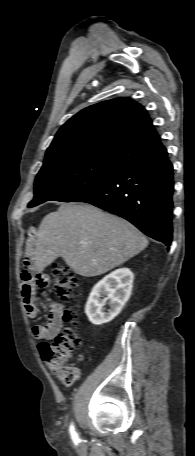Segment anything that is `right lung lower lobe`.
<instances>
[{"label":"right lung lower lobe","mask_w":195,"mask_h":456,"mask_svg":"<svg viewBox=\"0 0 195 456\" xmlns=\"http://www.w3.org/2000/svg\"><path fill=\"white\" fill-rule=\"evenodd\" d=\"M173 190V166L163 147L124 164L104 184L73 202L90 203L119 215L170 246Z\"/></svg>","instance_id":"right-lung-lower-lobe-1"}]
</instances>
